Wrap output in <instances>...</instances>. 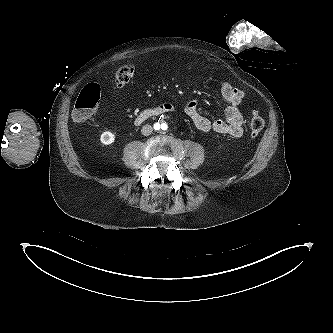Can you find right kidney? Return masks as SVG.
Segmentation results:
<instances>
[{"label":"right kidney","instance_id":"ca27d5eb","mask_svg":"<svg viewBox=\"0 0 333 333\" xmlns=\"http://www.w3.org/2000/svg\"><path fill=\"white\" fill-rule=\"evenodd\" d=\"M115 135L110 131H105L101 134L100 141L104 145H110L114 142Z\"/></svg>","mask_w":333,"mask_h":333}]
</instances>
